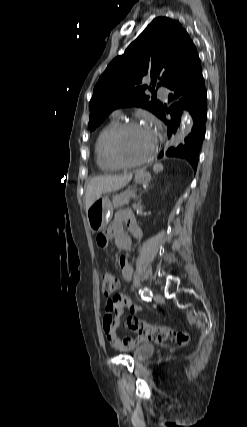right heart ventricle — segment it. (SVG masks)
I'll return each mask as SVG.
<instances>
[{"instance_id": "e07e8e85", "label": "right heart ventricle", "mask_w": 247, "mask_h": 427, "mask_svg": "<svg viewBox=\"0 0 247 427\" xmlns=\"http://www.w3.org/2000/svg\"><path fill=\"white\" fill-rule=\"evenodd\" d=\"M119 120L117 118H112L99 132L95 145H94V153L95 160L98 168L104 172H113L118 170L120 167L117 166L112 160L109 158L107 152V142L110 135L113 131L118 127Z\"/></svg>"}]
</instances>
